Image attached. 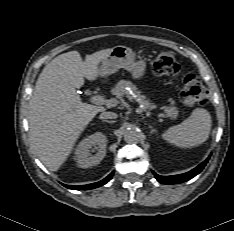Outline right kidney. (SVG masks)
Instances as JSON below:
<instances>
[{"instance_id": "ca27d5eb", "label": "right kidney", "mask_w": 234, "mask_h": 231, "mask_svg": "<svg viewBox=\"0 0 234 231\" xmlns=\"http://www.w3.org/2000/svg\"><path fill=\"white\" fill-rule=\"evenodd\" d=\"M107 138L98 132L83 139L75 150V160L81 168H89L99 164L106 154ZM93 148L96 153L91 155Z\"/></svg>"}]
</instances>
